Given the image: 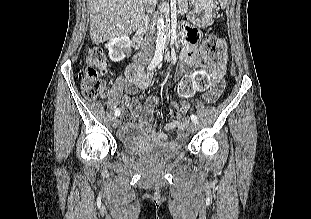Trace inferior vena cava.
Masks as SVG:
<instances>
[{
    "mask_svg": "<svg viewBox=\"0 0 311 219\" xmlns=\"http://www.w3.org/2000/svg\"><path fill=\"white\" fill-rule=\"evenodd\" d=\"M146 4V12L150 15L153 13L155 0H144ZM153 41L151 35L147 34L143 43V52H151Z\"/></svg>",
    "mask_w": 311,
    "mask_h": 219,
    "instance_id": "obj_1",
    "label": "inferior vena cava"
}]
</instances>
